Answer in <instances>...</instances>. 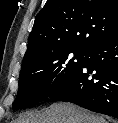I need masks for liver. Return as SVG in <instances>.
Segmentation results:
<instances>
[{
    "label": "liver",
    "instance_id": "1",
    "mask_svg": "<svg viewBox=\"0 0 118 123\" xmlns=\"http://www.w3.org/2000/svg\"><path fill=\"white\" fill-rule=\"evenodd\" d=\"M13 123H107V121L72 103L59 102L43 111L28 112Z\"/></svg>",
    "mask_w": 118,
    "mask_h": 123
}]
</instances>
